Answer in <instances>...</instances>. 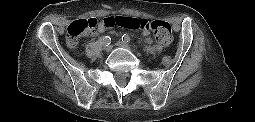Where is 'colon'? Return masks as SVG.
Listing matches in <instances>:
<instances>
[{
    "instance_id": "colon-1",
    "label": "colon",
    "mask_w": 255,
    "mask_h": 122,
    "mask_svg": "<svg viewBox=\"0 0 255 122\" xmlns=\"http://www.w3.org/2000/svg\"><path fill=\"white\" fill-rule=\"evenodd\" d=\"M109 27L118 26L130 30L149 31L154 34L157 41L168 46L172 41V29L168 22L162 20H147L144 18L113 16L106 18ZM97 20L94 18L73 21L67 28V40L71 46H75L83 35L94 33Z\"/></svg>"
}]
</instances>
